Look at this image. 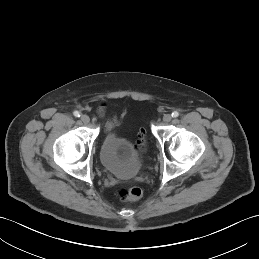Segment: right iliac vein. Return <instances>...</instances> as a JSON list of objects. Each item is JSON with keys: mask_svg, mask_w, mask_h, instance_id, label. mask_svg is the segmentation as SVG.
Masks as SVG:
<instances>
[{"mask_svg": "<svg viewBox=\"0 0 259 259\" xmlns=\"http://www.w3.org/2000/svg\"><path fill=\"white\" fill-rule=\"evenodd\" d=\"M81 121L84 123H88L90 121V118L84 114L81 116Z\"/></svg>", "mask_w": 259, "mask_h": 259, "instance_id": "1", "label": "right iliac vein"}]
</instances>
